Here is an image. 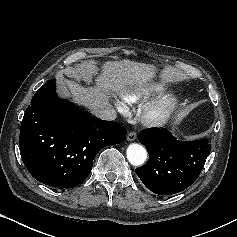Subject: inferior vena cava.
Instances as JSON below:
<instances>
[{
	"label": "inferior vena cava",
	"mask_w": 237,
	"mask_h": 237,
	"mask_svg": "<svg viewBox=\"0 0 237 237\" xmlns=\"http://www.w3.org/2000/svg\"><path fill=\"white\" fill-rule=\"evenodd\" d=\"M92 114L102 120L113 121L116 119V111L110 106L96 108L92 110Z\"/></svg>",
	"instance_id": "602c4592"
}]
</instances>
